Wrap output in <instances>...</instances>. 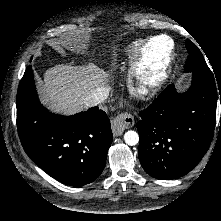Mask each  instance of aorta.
I'll list each match as a JSON object with an SVG mask.
<instances>
[{"label": "aorta", "instance_id": "obj_1", "mask_svg": "<svg viewBox=\"0 0 221 221\" xmlns=\"http://www.w3.org/2000/svg\"><path fill=\"white\" fill-rule=\"evenodd\" d=\"M124 141L128 145L134 146V145L138 144V142H139V135L135 131H132V130L127 131L124 134Z\"/></svg>", "mask_w": 221, "mask_h": 221}]
</instances>
